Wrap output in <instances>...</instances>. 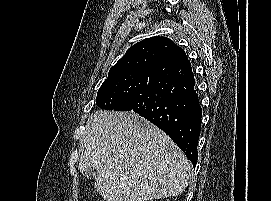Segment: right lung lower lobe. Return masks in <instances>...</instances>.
<instances>
[{
  "label": "right lung lower lobe",
  "instance_id": "1",
  "mask_svg": "<svg viewBox=\"0 0 271 201\" xmlns=\"http://www.w3.org/2000/svg\"><path fill=\"white\" fill-rule=\"evenodd\" d=\"M150 72L147 88L123 100L118 111H133L161 128L195 166L202 111L191 63L177 46Z\"/></svg>",
  "mask_w": 271,
  "mask_h": 201
}]
</instances>
